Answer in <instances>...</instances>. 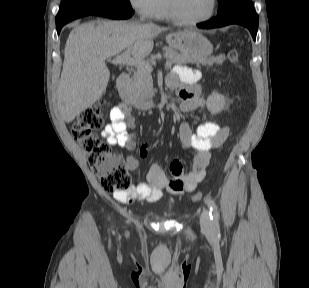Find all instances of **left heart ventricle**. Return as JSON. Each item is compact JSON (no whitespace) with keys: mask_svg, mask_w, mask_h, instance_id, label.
Segmentation results:
<instances>
[{"mask_svg":"<svg viewBox=\"0 0 309 288\" xmlns=\"http://www.w3.org/2000/svg\"><path fill=\"white\" fill-rule=\"evenodd\" d=\"M178 15L186 19H199L211 9V0H172Z\"/></svg>","mask_w":309,"mask_h":288,"instance_id":"1","label":"left heart ventricle"}]
</instances>
